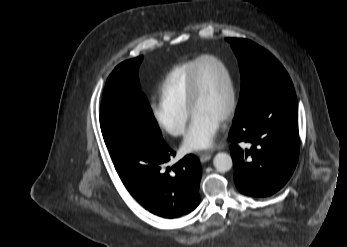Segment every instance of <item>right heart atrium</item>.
I'll return each mask as SVG.
<instances>
[{"label": "right heart atrium", "instance_id": "right-heart-atrium-1", "mask_svg": "<svg viewBox=\"0 0 347 247\" xmlns=\"http://www.w3.org/2000/svg\"><path fill=\"white\" fill-rule=\"evenodd\" d=\"M151 113L157 126L166 134L173 137L184 134L189 119L186 108L171 105L161 99L151 103Z\"/></svg>", "mask_w": 347, "mask_h": 247}]
</instances>
